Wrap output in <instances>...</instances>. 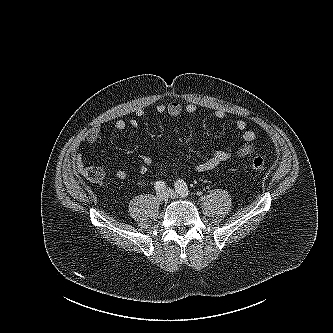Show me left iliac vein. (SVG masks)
<instances>
[{
	"label": "left iliac vein",
	"instance_id": "obj_1",
	"mask_svg": "<svg viewBox=\"0 0 333 333\" xmlns=\"http://www.w3.org/2000/svg\"><path fill=\"white\" fill-rule=\"evenodd\" d=\"M165 191L167 192L168 196L172 199H175L178 197V194L172 189H167Z\"/></svg>",
	"mask_w": 333,
	"mask_h": 333
}]
</instances>
